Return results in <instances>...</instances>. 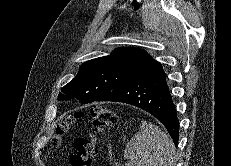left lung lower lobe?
Listing matches in <instances>:
<instances>
[{
  "mask_svg": "<svg viewBox=\"0 0 231 166\" xmlns=\"http://www.w3.org/2000/svg\"><path fill=\"white\" fill-rule=\"evenodd\" d=\"M96 101L122 102L147 111L166 127L177 145L179 122L164 70L158 61L155 60Z\"/></svg>",
  "mask_w": 231,
  "mask_h": 166,
  "instance_id": "1",
  "label": "left lung lower lobe"
}]
</instances>
